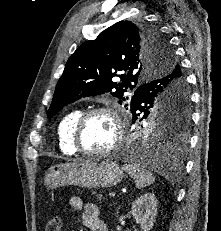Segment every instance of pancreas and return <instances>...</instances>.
Masks as SVG:
<instances>
[{
  "label": "pancreas",
  "mask_w": 221,
  "mask_h": 231,
  "mask_svg": "<svg viewBox=\"0 0 221 231\" xmlns=\"http://www.w3.org/2000/svg\"><path fill=\"white\" fill-rule=\"evenodd\" d=\"M96 196H97V198H98L99 200L102 199V195H101V194H97Z\"/></svg>",
  "instance_id": "cf45deb5"
}]
</instances>
